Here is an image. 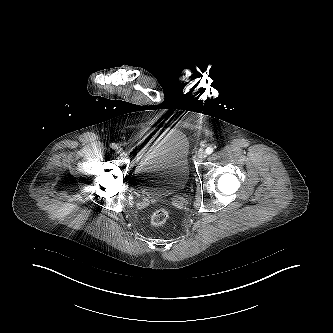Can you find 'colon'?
<instances>
[{
  "mask_svg": "<svg viewBox=\"0 0 333 333\" xmlns=\"http://www.w3.org/2000/svg\"><path fill=\"white\" fill-rule=\"evenodd\" d=\"M169 217V213L165 208H157L149 215V221L153 226L164 225Z\"/></svg>",
  "mask_w": 333,
  "mask_h": 333,
  "instance_id": "obj_1",
  "label": "colon"
}]
</instances>
